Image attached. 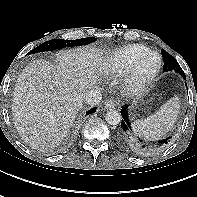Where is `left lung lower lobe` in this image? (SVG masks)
I'll return each mask as SVG.
<instances>
[{
    "label": "left lung lower lobe",
    "mask_w": 197,
    "mask_h": 197,
    "mask_svg": "<svg viewBox=\"0 0 197 197\" xmlns=\"http://www.w3.org/2000/svg\"><path fill=\"white\" fill-rule=\"evenodd\" d=\"M183 78L185 79L186 77L184 76ZM121 115L123 119L118 132V139L120 143L130 151L137 154H144L155 151L170 142V137L157 142H146L142 139H137L132 133V125L128 116V105L122 107Z\"/></svg>",
    "instance_id": "1"
}]
</instances>
